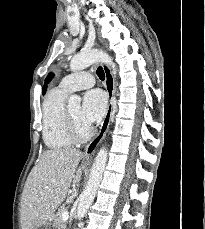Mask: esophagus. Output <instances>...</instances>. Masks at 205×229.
<instances>
[{"label": "esophagus", "mask_w": 205, "mask_h": 229, "mask_svg": "<svg viewBox=\"0 0 205 229\" xmlns=\"http://www.w3.org/2000/svg\"><path fill=\"white\" fill-rule=\"evenodd\" d=\"M103 70L105 73V86L108 93L109 103L108 108L105 114V117L102 121L100 129L95 136V138L86 146L85 148V157L90 159L93 153L95 152L99 143L103 140L106 135V132L109 128L111 114H112V105H113V97H114V78L111 72V69L107 64H103Z\"/></svg>", "instance_id": "1"}]
</instances>
